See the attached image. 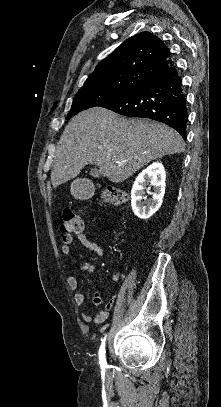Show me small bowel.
I'll return each instance as SVG.
<instances>
[{
  "instance_id": "1",
  "label": "small bowel",
  "mask_w": 221,
  "mask_h": 407,
  "mask_svg": "<svg viewBox=\"0 0 221 407\" xmlns=\"http://www.w3.org/2000/svg\"><path fill=\"white\" fill-rule=\"evenodd\" d=\"M76 239L80 242L82 246L87 248L88 250L92 251L95 253L97 256H102L103 255V249L97 244L92 241H90L85 234H78L76 235ZM72 243H73V237L70 235H65L62 237V246H61V252L64 256L70 257L72 256ZM81 269L84 272L94 274L97 272V268L95 265L83 262L81 264ZM120 278V274L117 272L112 276V279L114 281L118 280ZM66 283L68 288L71 291H75L78 287V282L77 279L74 275L70 274L68 275L66 279ZM74 304L76 306H82L85 301H86V294L84 292H77L74 294L73 297ZM103 303L102 297L98 292H95L93 295V304L96 307H100ZM114 304V298H112L106 305H105V310L101 311L98 315L92 316L90 314L84 313L82 314V318L86 322H94L96 324L102 323L105 321L107 317V310L111 309V307Z\"/></svg>"
}]
</instances>
